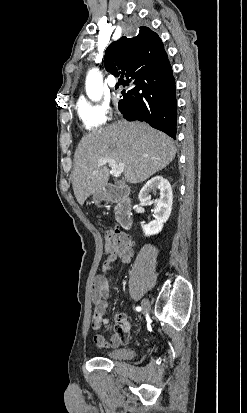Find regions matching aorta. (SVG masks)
<instances>
[{
	"instance_id": "aorta-1",
	"label": "aorta",
	"mask_w": 247,
	"mask_h": 413,
	"mask_svg": "<svg viewBox=\"0 0 247 413\" xmlns=\"http://www.w3.org/2000/svg\"><path fill=\"white\" fill-rule=\"evenodd\" d=\"M86 93L93 101L101 99L103 94V81L101 72L98 69H92L86 78Z\"/></svg>"
}]
</instances>
